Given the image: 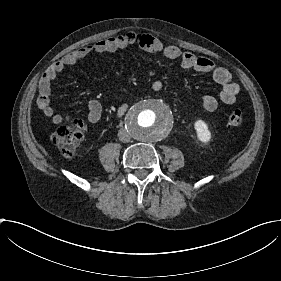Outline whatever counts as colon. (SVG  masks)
Listing matches in <instances>:
<instances>
[{"instance_id":"1","label":"colon","mask_w":281,"mask_h":281,"mask_svg":"<svg viewBox=\"0 0 281 281\" xmlns=\"http://www.w3.org/2000/svg\"><path fill=\"white\" fill-rule=\"evenodd\" d=\"M229 122L233 126H241L244 121V114L241 110H232L229 113ZM87 130L85 120L78 119L73 124L59 128L53 138L54 144L66 157H73L77 154L81 140Z\"/></svg>"}]
</instances>
